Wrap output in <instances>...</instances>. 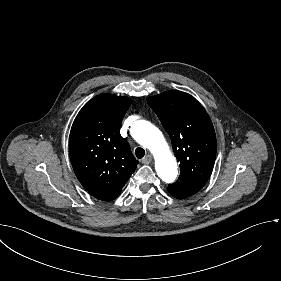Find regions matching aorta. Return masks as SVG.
I'll use <instances>...</instances> for the list:
<instances>
[{
  "label": "aorta",
  "instance_id": "aorta-1",
  "mask_svg": "<svg viewBox=\"0 0 281 281\" xmlns=\"http://www.w3.org/2000/svg\"><path fill=\"white\" fill-rule=\"evenodd\" d=\"M133 135L153 154L158 176L166 183L173 182L178 174L177 162L161 131L150 122L140 120L133 126Z\"/></svg>",
  "mask_w": 281,
  "mask_h": 281
}]
</instances>
